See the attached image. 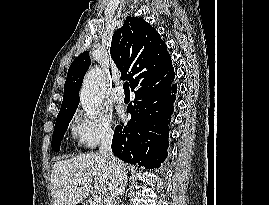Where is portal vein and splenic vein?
<instances>
[{"label":"portal vein and splenic vein","mask_w":269,"mask_h":205,"mask_svg":"<svg viewBox=\"0 0 269 205\" xmlns=\"http://www.w3.org/2000/svg\"><path fill=\"white\" fill-rule=\"evenodd\" d=\"M92 178H82V179H76L73 181V184L75 185H81V184H90L92 183ZM93 201L94 203L99 204L102 201V195L100 193H96L93 195Z\"/></svg>","instance_id":"18ae733b"}]
</instances>
